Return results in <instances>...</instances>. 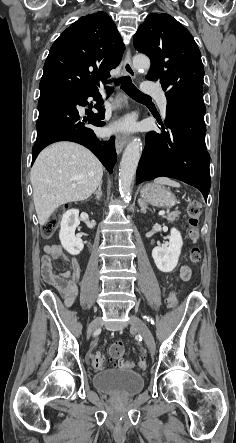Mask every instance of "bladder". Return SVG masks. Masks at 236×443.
Wrapping results in <instances>:
<instances>
[{
	"mask_svg": "<svg viewBox=\"0 0 236 443\" xmlns=\"http://www.w3.org/2000/svg\"><path fill=\"white\" fill-rule=\"evenodd\" d=\"M93 384L98 391L128 397L141 391L144 377L131 369L107 370L97 373Z\"/></svg>",
	"mask_w": 236,
	"mask_h": 443,
	"instance_id": "obj_1",
	"label": "bladder"
}]
</instances>
